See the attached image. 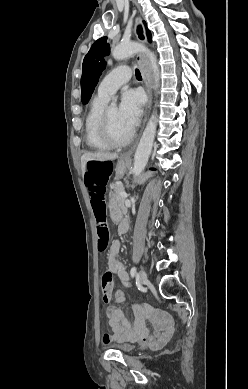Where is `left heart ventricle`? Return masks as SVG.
I'll return each mask as SVG.
<instances>
[{
    "label": "left heart ventricle",
    "instance_id": "obj_1",
    "mask_svg": "<svg viewBox=\"0 0 248 389\" xmlns=\"http://www.w3.org/2000/svg\"><path fill=\"white\" fill-rule=\"evenodd\" d=\"M109 116H110L111 128L113 134L117 138L120 139L125 138L131 132V129H129L126 126V124L122 121L117 106L109 107Z\"/></svg>",
    "mask_w": 248,
    "mask_h": 389
}]
</instances>
